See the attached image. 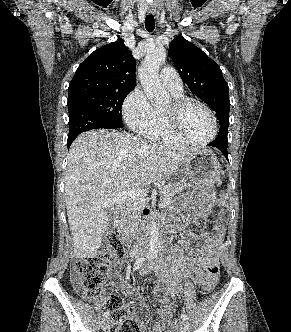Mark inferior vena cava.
Segmentation results:
<instances>
[{"label":"inferior vena cava","instance_id":"inferior-vena-cava-1","mask_svg":"<svg viewBox=\"0 0 291 332\" xmlns=\"http://www.w3.org/2000/svg\"><path fill=\"white\" fill-rule=\"evenodd\" d=\"M134 249H135V245H133V249L131 251H134Z\"/></svg>","mask_w":291,"mask_h":332}]
</instances>
